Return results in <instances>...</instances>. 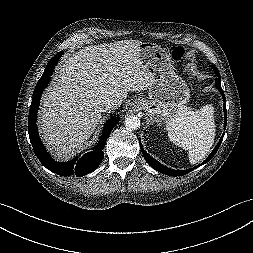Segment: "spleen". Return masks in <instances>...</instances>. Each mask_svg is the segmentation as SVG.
<instances>
[{
	"instance_id": "1",
	"label": "spleen",
	"mask_w": 253,
	"mask_h": 253,
	"mask_svg": "<svg viewBox=\"0 0 253 253\" xmlns=\"http://www.w3.org/2000/svg\"><path fill=\"white\" fill-rule=\"evenodd\" d=\"M167 131L171 142L188 150L189 162L198 163L214 143V107L207 104L196 111L182 108L176 118L167 124Z\"/></svg>"
}]
</instances>
